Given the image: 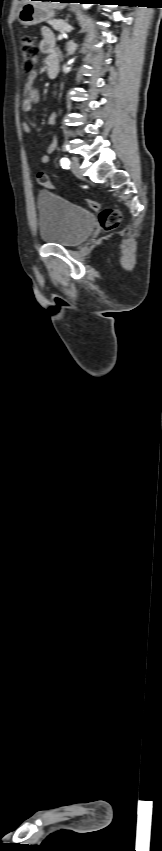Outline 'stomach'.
I'll use <instances>...</instances> for the list:
<instances>
[{
	"instance_id": "stomach-1",
	"label": "stomach",
	"mask_w": 162,
	"mask_h": 851,
	"mask_svg": "<svg viewBox=\"0 0 162 851\" xmlns=\"http://www.w3.org/2000/svg\"><path fill=\"white\" fill-rule=\"evenodd\" d=\"M74 8V7H72ZM55 15L53 9L43 8L34 2L24 4L18 12V21L23 26H32L52 19Z\"/></svg>"
}]
</instances>
